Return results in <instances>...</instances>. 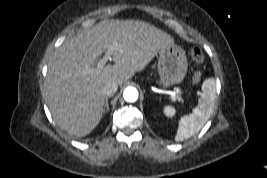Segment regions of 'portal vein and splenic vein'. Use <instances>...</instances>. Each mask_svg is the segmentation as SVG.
I'll return each mask as SVG.
<instances>
[{"mask_svg": "<svg viewBox=\"0 0 267 178\" xmlns=\"http://www.w3.org/2000/svg\"><path fill=\"white\" fill-rule=\"evenodd\" d=\"M117 49V44H113V45H108L107 46V51L105 53V55L103 56V58L98 62L97 64V68L98 69H102L104 67V65L106 64V62L109 60L110 56L113 54V52ZM88 71H91V69H89ZM176 96H177V92L172 91L171 92V98L172 100H176Z\"/></svg>", "mask_w": 267, "mask_h": 178, "instance_id": "18ae733b", "label": "portal vein and splenic vein"}]
</instances>
